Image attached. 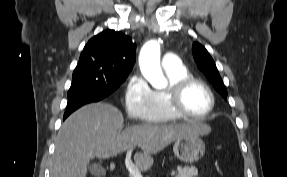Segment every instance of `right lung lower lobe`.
<instances>
[{"label": "right lung lower lobe", "instance_id": "obj_1", "mask_svg": "<svg viewBox=\"0 0 287 177\" xmlns=\"http://www.w3.org/2000/svg\"><path fill=\"white\" fill-rule=\"evenodd\" d=\"M67 97H68V104L63 119L68 117L72 112H74L81 106L92 102H98L107 96L105 95V93L102 92L82 91L78 93H73Z\"/></svg>", "mask_w": 287, "mask_h": 177}]
</instances>
